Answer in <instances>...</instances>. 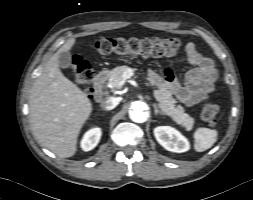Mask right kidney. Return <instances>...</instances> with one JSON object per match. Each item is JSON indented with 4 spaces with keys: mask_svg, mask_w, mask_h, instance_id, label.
<instances>
[{
    "mask_svg": "<svg viewBox=\"0 0 253 200\" xmlns=\"http://www.w3.org/2000/svg\"><path fill=\"white\" fill-rule=\"evenodd\" d=\"M101 129L96 127V128H92L90 130H88L80 143V146L82 148L83 151H90L92 149H94L97 144L99 143L100 139H101Z\"/></svg>",
    "mask_w": 253,
    "mask_h": 200,
    "instance_id": "ca27d5eb",
    "label": "right kidney"
}]
</instances>
